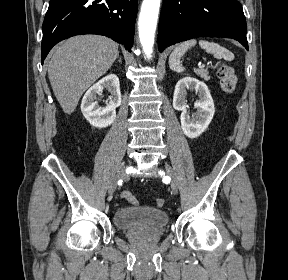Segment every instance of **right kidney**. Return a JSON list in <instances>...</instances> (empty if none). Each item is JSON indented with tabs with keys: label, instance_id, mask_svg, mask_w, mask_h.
Segmentation results:
<instances>
[{
	"label": "right kidney",
	"instance_id": "obj_1",
	"mask_svg": "<svg viewBox=\"0 0 288 280\" xmlns=\"http://www.w3.org/2000/svg\"><path fill=\"white\" fill-rule=\"evenodd\" d=\"M103 89L110 92L109 102L105 107H101L96 101V95ZM121 100L119 79L115 74H109L88 89L81 102V111L92 126L105 128L114 122L116 108L121 105Z\"/></svg>",
	"mask_w": 288,
	"mask_h": 280
}]
</instances>
